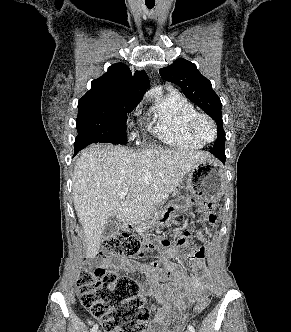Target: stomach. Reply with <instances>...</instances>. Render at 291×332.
I'll return each mask as SVG.
<instances>
[{
  "label": "stomach",
  "mask_w": 291,
  "mask_h": 332,
  "mask_svg": "<svg viewBox=\"0 0 291 332\" xmlns=\"http://www.w3.org/2000/svg\"><path fill=\"white\" fill-rule=\"evenodd\" d=\"M223 181V171L214 159L198 162L188 173L186 194L175 189L172 192L173 199L162 210L155 211L149 217L148 227L165 225L175 211L190 212L194 206L217 200L222 194Z\"/></svg>",
  "instance_id": "0dacf381"
}]
</instances>
